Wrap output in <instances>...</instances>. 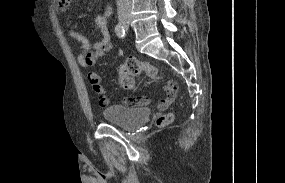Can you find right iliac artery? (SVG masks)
I'll use <instances>...</instances> for the list:
<instances>
[{"mask_svg": "<svg viewBox=\"0 0 285 183\" xmlns=\"http://www.w3.org/2000/svg\"><path fill=\"white\" fill-rule=\"evenodd\" d=\"M115 32L119 38L125 37V29H124L123 25H121L120 23L116 25Z\"/></svg>", "mask_w": 285, "mask_h": 183, "instance_id": "1", "label": "right iliac artery"}]
</instances>
